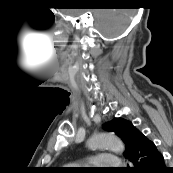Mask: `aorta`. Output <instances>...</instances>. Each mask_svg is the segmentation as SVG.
Segmentation results:
<instances>
[{"mask_svg": "<svg viewBox=\"0 0 173 173\" xmlns=\"http://www.w3.org/2000/svg\"><path fill=\"white\" fill-rule=\"evenodd\" d=\"M92 150L109 149L112 152L122 154L125 150L122 140L114 134L101 132L94 134L88 143Z\"/></svg>", "mask_w": 173, "mask_h": 173, "instance_id": "1", "label": "aorta"}]
</instances>
